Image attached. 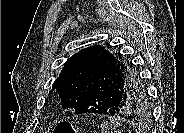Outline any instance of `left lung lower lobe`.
Masks as SVG:
<instances>
[{"mask_svg":"<svg viewBox=\"0 0 184 133\" xmlns=\"http://www.w3.org/2000/svg\"><path fill=\"white\" fill-rule=\"evenodd\" d=\"M98 66L99 70L89 93L90 96L95 95V100L86 98L76 108L75 114L95 113L120 118L139 128L138 124L134 123L135 116L128 113L129 108L136 106V96L145 91L142 84H139V77H135L136 84H127L105 52L100 54Z\"/></svg>","mask_w":184,"mask_h":133,"instance_id":"0a47b994","label":"left lung lower lobe"}]
</instances>
